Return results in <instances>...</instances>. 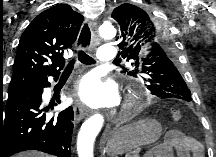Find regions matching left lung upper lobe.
Segmentation results:
<instances>
[{"label":"left lung upper lobe","mask_w":216,"mask_h":157,"mask_svg":"<svg viewBox=\"0 0 216 157\" xmlns=\"http://www.w3.org/2000/svg\"><path fill=\"white\" fill-rule=\"evenodd\" d=\"M111 17L120 27L116 38L120 54L134 68L128 74L142 75L146 88L160 99L190 102L191 92L181 76V64H177V48L162 19L128 3L116 7Z\"/></svg>","instance_id":"obj_1"}]
</instances>
